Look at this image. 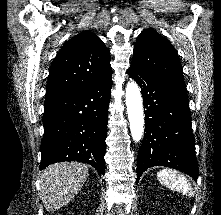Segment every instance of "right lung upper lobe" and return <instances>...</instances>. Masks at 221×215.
Returning <instances> with one entry per match:
<instances>
[{
	"label": "right lung upper lobe",
	"mask_w": 221,
	"mask_h": 215,
	"mask_svg": "<svg viewBox=\"0 0 221 215\" xmlns=\"http://www.w3.org/2000/svg\"><path fill=\"white\" fill-rule=\"evenodd\" d=\"M112 75L110 52L92 32L67 41L54 59L48 76L45 104L63 99Z\"/></svg>",
	"instance_id": "right-lung-upper-lobe-1"
}]
</instances>
